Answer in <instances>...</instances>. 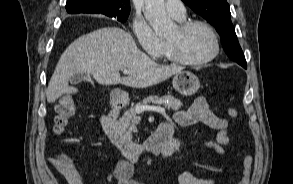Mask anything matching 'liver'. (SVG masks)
Here are the masks:
<instances>
[{"label":"liver","mask_w":293,"mask_h":184,"mask_svg":"<svg viewBox=\"0 0 293 184\" xmlns=\"http://www.w3.org/2000/svg\"><path fill=\"white\" fill-rule=\"evenodd\" d=\"M129 70L128 77L120 71ZM183 67L163 66L140 51L130 33L104 27L73 41L61 55L46 89L48 103L65 93H76L69 81L77 73L91 74L101 85L123 84L146 88L181 72Z\"/></svg>","instance_id":"6515ba94"}]
</instances>
